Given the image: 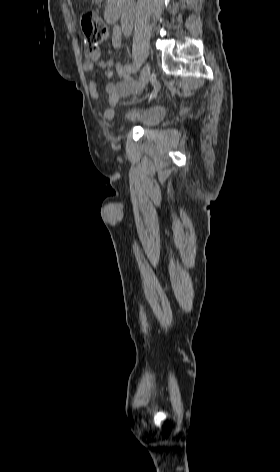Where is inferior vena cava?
I'll return each mask as SVG.
<instances>
[{
	"label": "inferior vena cava",
	"mask_w": 280,
	"mask_h": 472,
	"mask_svg": "<svg viewBox=\"0 0 280 472\" xmlns=\"http://www.w3.org/2000/svg\"><path fill=\"white\" fill-rule=\"evenodd\" d=\"M135 3L134 0H124L121 23L124 31L130 33L133 29Z\"/></svg>",
	"instance_id": "inferior-vena-cava-1"
}]
</instances>
